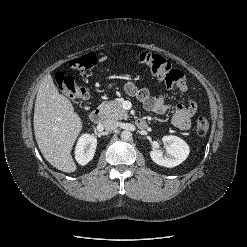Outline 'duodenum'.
Returning <instances> with one entry per match:
<instances>
[{
    "instance_id": "1",
    "label": "duodenum",
    "mask_w": 247,
    "mask_h": 247,
    "mask_svg": "<svg viewBox=\"0 0 247 247\" xmlns=\"http://www.w3.org/2000/svg\"><path fill=\"white\" fill-rule=\"evenodd\" d=\"M103 118H104V111L102 108H95L90 114V120L95 124L102 122ZM137 126L139 128H146L147 127L146 120L142 118L138 119Z\"/></svg>"
}]
</instances>
